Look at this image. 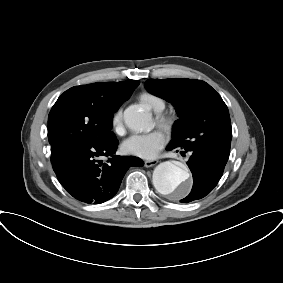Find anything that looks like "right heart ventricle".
Instances as JSON below:
<instances>
[{"label": "right heart ventricle", "mask_w": 283, "mask_h": 283, "mask_svg": "<svg viewBox=\"0 0 283 283\" xmlns=\"http://www.w3.org/2000/svg\"><path fill=\"white\" fill-rule=\"evenodd\" d=\"M138 99L156 112H161L166 106L165 100L152 92L144 91L139 94Z\"/></svg>", "instance_id": "right-heart-ventricle-1"}]
</instances>
